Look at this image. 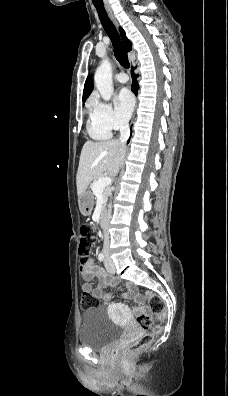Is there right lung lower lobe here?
Segmentation results:
<instances>
[{
  "instance_id": "right-lung-lower-lobe-1",
  "label": "right lung lower lobe",
  "mask_w": 228,
  "mask_h": 396,
  "mask_svg": "<svg viewBox=\"0 0 228 396\" xmlns=\"http://www.w3.org/2000/svg\"><path fill=\"white\" fill-rule=\"evenodd\" d=\"M131 75H132V79H133L132 86H131V90L137 95V91H138V89H139V86H138V83H137V81H136V76H135V74L133 73V68H132V73H131Z\"/></svg>"
}]
</instances>
